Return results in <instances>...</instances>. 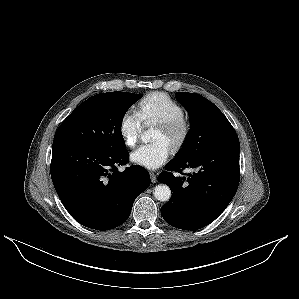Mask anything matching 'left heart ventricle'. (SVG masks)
<instances>
[{"label":"left heart ventricle","mask_w":299,"mask_h":299,"mask_svg":"<svg viewBox=\"0 0 299 299\" xmlns=\"http://www.w3.org/2000/svg\"><path fill=\"white\" fill-rule=\"evenodd\" d=\"M154 140L155 141L164 140L165 142H167L170 145L171 141H172V137L169 134H167L162 128H160L158 126L156 133L154 135Z\"/></svg>","instance_id":"left-heart-ventricle-1"}]
</instances>
